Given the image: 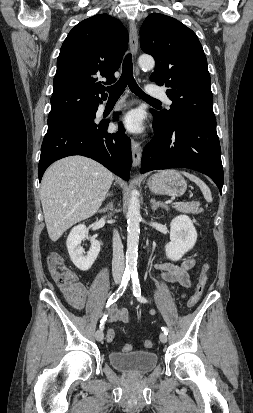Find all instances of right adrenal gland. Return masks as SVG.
<instances>
[{
    "mask_svg": "<svg viewBox=\"0 0 253 413\" xmlns=\"http://www.w3.org/2000/svg\"><path fill=\"white\" fill-rule=\"evenodd\" d=\"M110 208H111V206H110ZM108 209H109V207H106V208L100 210L99 212H100V213H105V212H107Z\"/></svg>",
    "mask_w": 253,
    "mask_h": 413,
    "instance_id": "1",
    "label": "right adrenal gland"
}]
</instances>
